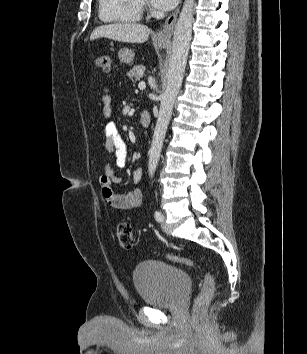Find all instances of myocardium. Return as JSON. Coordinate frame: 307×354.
I'll use <instances>...</instances> for the list:
<instances>
[{
    "instance_id": "f54148a6",
    "label": "myocardium",
    "mask_w": 307,
    "mask_h": 354,
    "mask_svg": "<svg viewBox=\"0 0 307 354\" xmlns=\"http://www.w3.org/2000/svg\"><path fill=\"white\" fill-rule=\"evenodd\" d=\"M138 2H139V5H140V6L144 4V1H143V0H138Z\"/></svg>"
}]
</instances>
